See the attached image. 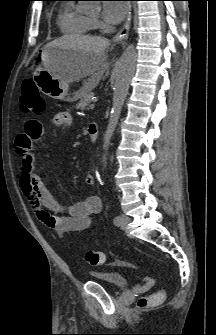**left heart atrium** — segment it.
Wrapping results in <instances>:
<instances>
[{
    "label": "left heart atrium",
    "mask_w": 216,
    "mask_h": 335,
    "mask_svg": "<svg viewBox=\"0 0 216 335\" xmlns=\"http://www.w3.org/2000/svg\"><path fill=\"white\" fill-rule=\"evenodd\" d=\"M128 4L121 1H106L103 7V18L110 25L119 24L128 13Z\"/></svg>",
    "instance_id": "left-heart-atrium-1"
}]
</instances>
